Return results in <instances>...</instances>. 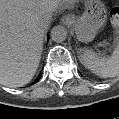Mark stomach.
<instances>
[{"label": "stomach", "mask_w": 119, "mask_h": 119, "mask_svg": "<svg viewBox=\"0 0 119 119\" xmlns=\"http://www.w3.org/2000/svg\"><path fill=\"white\" fill-rule=\"evenodd\" d=\"M86 10L81 17L71 20L77 39L88 43L94 39L97 31L105 24L107 11L101 0H83Z\"/></svg>", "instance_id": "obj_1"}]
</instances>
